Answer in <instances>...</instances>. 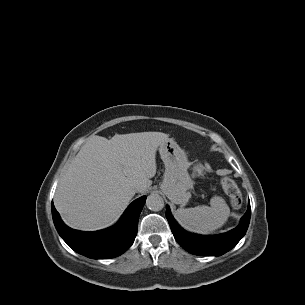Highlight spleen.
<instances>
[{
  "label": "spleen",
  "mask_w": 305,
  "mask_h": 305,
  "mask_svg": "<svg viewBox=\"0 0 305 305\" xmlns=\"http://www.w3.org/2000/svg\"><path fill=\"white\" fill-rule=\"evenodd\" d=\"M229 214L230 209L220 196L212 197L210 206L179 208L175 211L178 223L184 229L198 234H209L222 227Z\"/></svg>",
  "instance_id": "spleen-1"
}]
</instances>
